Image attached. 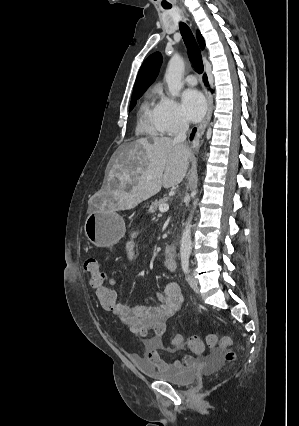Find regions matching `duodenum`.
I'll return each instance as SVG.
<instances>
[{"label": "duodenum", "mask_w": 299, "mask_h": 426, "mask_svg": "<svg viewBox=\"0 0 299 426\" xmlns=\"http://www.w3.org/2000/svg\"><path fill=\"white\" fill-rule=\"evenodd\" d=\"M165 257L168 260L174 261L176 258V249L172 245H167L165 247Z\"/></svg>", "instance_id": "1"}]
</instances>
